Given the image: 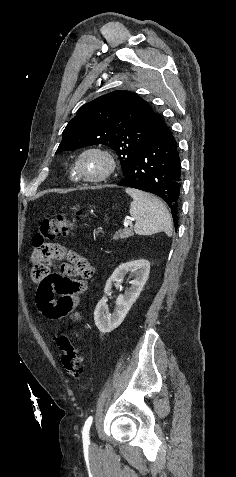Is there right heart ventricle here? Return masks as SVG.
I'll return each instance as SVG.
<instances>
[{"instance_id":"e07e8e85","label":"right heart ventricle","mask_w":236,"mask_h":477,"mask_svg":"<svg viewBox=\"0 0 236 477\" xmlns=\"http://www.w3.org/2000/svg\"><path fill=\"white\" fill-rule=\"evenodd\" d=\"M70 178H71L72 181H78V177H77L74 170H71Z\"/></svg>"}]
</instances>
